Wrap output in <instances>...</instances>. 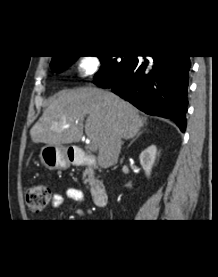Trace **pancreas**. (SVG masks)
Here are the masks:
<instances>
[{"mask_svg": "<svg viewBox=\"0 0 218 277\" xmlns=\"http://www.w3.org/2000/svg\"><path fill=\"white\" fill-rule=\"evenodd\" d=\"M89 174H90V170H87V171L85 172V176H86V175H89ZM91 180H92V176H88V178H85L84 183L87 184V183L90 182Z\"/></svg>", "mask_w": 218, "mask_h": 277, "instance_id": "obj_1", "label": "pancreas"}]
</instances>
